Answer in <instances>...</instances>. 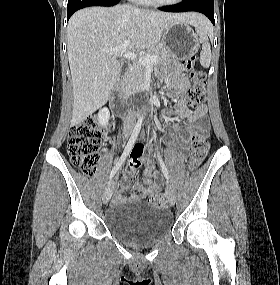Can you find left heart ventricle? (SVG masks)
I'll use <instances>...</instances> for the list:
<instances>
[{
  "label": "left heart ventricle",
  "mask_w": 280,
  "mask_h": 285,
  "mask_svg": "<svg viewBox=\"0 0 280 285\" xmlns=\"http://www.w3.org/2000/svg\"><path fill=\"white\" fill-rule=\"evenodd\" d=\"M161 1H169V0H161Z\"/></svg>",
  "instance_id": "left-heart-ventricle-1"
}]
</instances>
